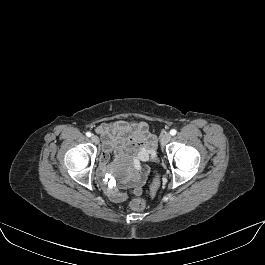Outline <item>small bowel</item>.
<instances>
[{
  "instance_id": "c3829d8e",
  "label": "small bowel",
  "mask_w": 265,
  "mask_h": 265,
  "mask_svg": "<svg viewBox=\"0 0 265 265\" xmlns=\"http://www.w3.org/2000/svg\"><path fill=\"white\" fill-rule=\"evenodd\" d=\"M97 132L103 140L101 172L107 170L111 153L120 159H132L140 170L139 173L132 174L129 179L119 183L123 188H127V191L118 189L115 183H105L104 190L108 197L112 201L121 202L130 195H141L149 172V168L144 164L156 154L155 136L148 125L142 121L117 120L102 123L97 127Z\"/></svg>"
}]
</instances>
